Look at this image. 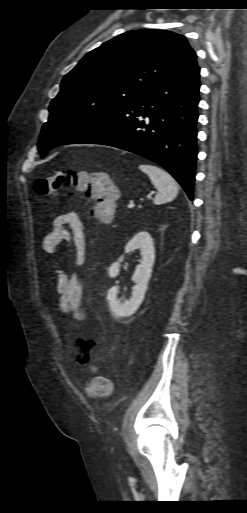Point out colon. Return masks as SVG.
Returning a JSON list of instances; mask_svg holds the SVG:
<instances>
[{"label": "colon", "mask_w": 247, "mask_h": 513, "mask_svg": "<svg viewBox=\"0 0 247 513\" xmlns=\"http://www.w3.org/2000/svg\"><path fill=\"white\" fill-rule=\"evenodd\" d=\"M76 189L85 192L95 203L93 215L103 223L113 219V208L117 200V191L109 183L108 177L101 172H83L76 170H62L51 172L38 179L34 190L42 196L53 195L62 191ZM76 358L81 359L79 367L88 379L85 381V392L91 398H106L111 395L113 387L111 381L99 374V367L85 358L87 350L78 346L74 350Z\"/></svg>", "instance_id": "5ec220e1"}]
</instances>
